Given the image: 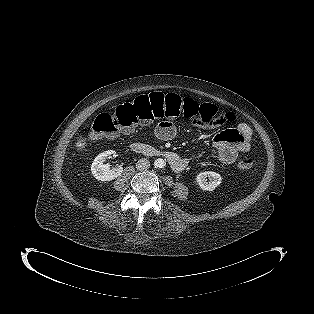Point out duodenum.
Wrapping results in <instances>:
<instances>
[{"label": "duodenum", "instance_id": "duodenum-1", "mask_svg": "<svg viewBox=\"0 0 314 314\" xmlns=\"http://www.w3.org/2000/svg\"><path fill=\"white\" fill-rule=\"evenodd\" d=\"M131 150L135 153L147 156H163L168 161L170 167L175 171H182L187 165V162L175 152L162 151L143 142L132 143Z\"/></svg>", "mask_w": 314, "mask_h": 314}]
</instances>
